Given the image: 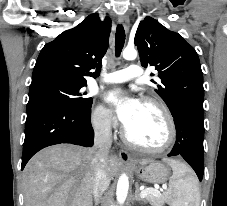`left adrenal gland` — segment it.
<instances>
[{"mask_svg": "<svg viewBox=\"0 0 227 206\" xmlns=\"http://www.w3.org/2000/svg\"><path fill=\"white\" fill-rule=\"evenodd\" d=\"M135 187H136V190H135V193H134V200L144 201V199L140 196L139 184L136 183Z\"/></svg>", "mask_w": 227, "mask_h": 206, "instance_id": "obj_1", "label": "left adrenal gland"}]
</instances>
